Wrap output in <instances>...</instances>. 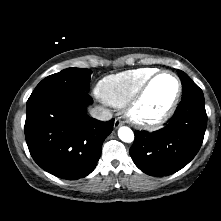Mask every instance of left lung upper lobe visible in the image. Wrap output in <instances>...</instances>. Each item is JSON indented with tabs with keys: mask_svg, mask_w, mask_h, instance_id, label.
<instances>
[{
	"mask_svg": "<svg viewBox=\"0 0 221 221\" xmlns=\"http://www.w3.org/2000/svg\"><path fill=\"white\" fill-rule=\"evenodd\" d=\"M178 75L182 82L183 94L182 99L187 98H204L202 90L189 78V76L181 70H178Z\"/></svg>",
	"mask_w": 221,
	"mask_h": 221,
	"instance_id": "obj_1",
	"label": "left lung upper lobe"
}]
</instances>
